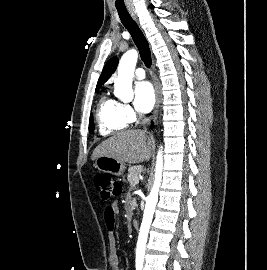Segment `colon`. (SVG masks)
I'll return each instance as SVG.
<instances>
[{
    "label": "colon",
    "instance_id": "colon-1",
    "mask_svg": "<svg viewBox=\"0 0 267 270\" xmlns=\"http://www.w3.org/2000/svg\"><path fill=\"white\" fill-rule=\"evenodd\" d=\"M94 185L103 201H109L119 195L122 190L120 182L106 173H99L94 177Z\"/></svg>",
    "mask_w": 267,
    "mask_h": 270
}]
</instances>
